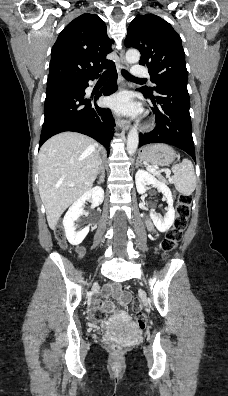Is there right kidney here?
<instances>
[{
    "label": "right kidney",
    "mask_w": 228,
    "mask_h": 396,
    "mask_svg": "<svg viewBox=\"0 0 228 396\" xmlns=\"http://www.w3.org/2000/svg\"><path fill=\"white\" fill-rule=\"evenodd\" d=\"M103 200L104 190L97 186L85 192L70 206L63 219L65 234L70 244H81L89 232V227L76 231L74 226L75 221L83 214L85 202L91 201L92 207H97L102 204Z\"/></svg>",
    "instance_id": "1"
}]
</instances>
